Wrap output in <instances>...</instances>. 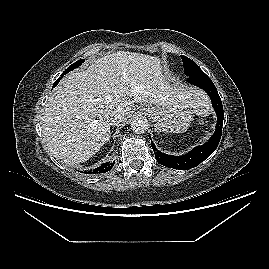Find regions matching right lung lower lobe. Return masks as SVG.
Wrapping results in <instances>:
<instances>
[{
    "label": "right lung lower lobe",
    "instance_id": "obj_1",
    "mask_svg": "<svg viewBox=\"0 0 269 269\" xmlns=\"http://www.w3.org/2000/svg\"><path fill=\"white\" fill-rule=\"evenodd\" d=\"M65 74H67V73H66V72H63V74L61 75V77L58 78V79L55 81L53 87H55V86L59 83V81L61 80L62 76L65 75ZM53 87H52V88H53ZM113 165H114V162H112V163L107 162V163H104V164H102L101 166L95 168L93 171H89V172L84 171L83 173H90V174H92V173H93V174L105 173V172H107V171H110L111 168L113 167Z\"/></svg>",
    "mask_w": 269,
    "mask_h": 269
}]
</instances>
